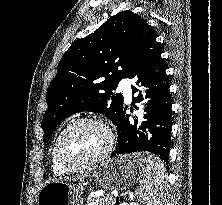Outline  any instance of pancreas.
<instances>
[{"label": "pancreas", "mask_w": 222, "mask_h": 205, "mask_svg": "<svg viewBox=\"0 0 222 205\" xmlns=\"http://www.w3.org/2000/svg\"><path fill=\"white\" fill-rule=\"evenodd\" d=\"M115 203L116 200L110 195H105L100 198L88 197L87 199V205H114Z\"/></svg>", "instance_id": "pancreas-1"}]
</instances>
